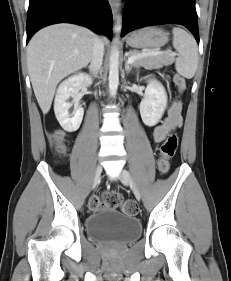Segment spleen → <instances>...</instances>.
<instances>
[{
  "instance_id": "spleen-1",
  "label": "spleen",
  "mask_w": 231,
  "mask_h": 281,
  "mask_svg": "<svg viewBox=\"0 0 231 281\" xmlns=\"http://www.w3.org/2000/svg\"><path fill=\"white\" fill-rule=\"evenodd\" d=\"M173 47L179 53L176 59V71L187 79H191L197 70L198 47L195 39L185 30L174 27Z\"/></svg>"
}]
</instances>
